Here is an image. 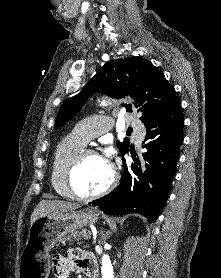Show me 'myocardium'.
<instances>
[{
	"instance_id": "obj_1",
	"label": "myocardium",
	"mask_w": 221,
	"mask_h": 278,
	"mask_svg": "<svg viewBox=\"0 0 221 278\" xmlns=\"http://www.w3.org/2000/svg\"><path fill=\"white\" fill-rule=\"evenodd\" d=\"M89 155H100L98 151H96L93 148L89 147H83L81 148L75 155L71 158L70 162L67 165L66 172H65V182H66V187L71 194L73 198H76L81 201H88L92 200L95 198H98L100 196L105 195L109 191H111L117 184L118 182V171L116 166L108 161L109 167H110V180L107 183V185L102 188L101 190L90 193V194H84L80 192V190L77 188L76 183H75V178H76V173L77 170L81 164V162Z\"/></svg>"
}]
</instances>
